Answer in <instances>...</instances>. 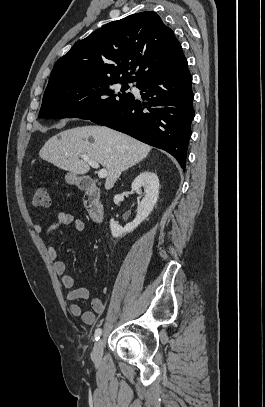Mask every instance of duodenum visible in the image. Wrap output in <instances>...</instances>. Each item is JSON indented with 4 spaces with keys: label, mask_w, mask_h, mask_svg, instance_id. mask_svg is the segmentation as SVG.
I'll return each instance as SVG.
<instances>
[{
    "label": "duodenum",
    "mask_w": 265,
    "mask_h": 407,
    "mask_svg": "<svg viewBox=\"0 0 265 407\" xmlns=\"http://www.w3.org/2000/svg\"><path fill=\"white\" fill-rule=\"evenodd\" d=\"M80 186L85 192L84 204L89 216L95 222H101L104 218V207L100 200V190L91 178L81 180Z\"/></svg>",
    "instance_id": "410a0bca"
}]
</instances>
